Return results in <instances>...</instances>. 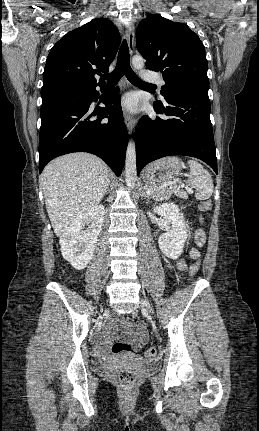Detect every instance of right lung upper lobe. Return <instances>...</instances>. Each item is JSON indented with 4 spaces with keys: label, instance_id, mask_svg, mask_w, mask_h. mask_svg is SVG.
Segmentation results:
<instances>
[{
    "label": "right lung upper lobe",
    "instance_id": "cb5924a9",
    "mask_svg": "<svg viewBox=\"0 0 259 431\" xmlns=\"http://www.w3.org/2000/svg\"><path fill=\"white\" fill-rule=\"evenodd\" d=\"M121 37L108 19L96 18L68 32L50 50L43 74V89L66 86L86 89L104 85L95 74L107 73Z\"/></svg>",
    "mask_w": 259,
    "mask_h": 431
}]
</instances>
